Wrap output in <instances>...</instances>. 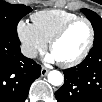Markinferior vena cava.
Returning a JSON list of instances; mask_svg holds the SVG:
<instances>
[{
  "mask_svg": "<svg viewBox=\"0 0 102 102\" xmlns=\"http://www.w3.org/2000/svg\"><path fill=\"white\" fill-rule=\"evenodd\" d=\"M21 52L27 58H36L38 55V52L35 48L27 45L21 46Z\"/></svg>",
  "mask_w": 102,
  "mask_h": 102,
  "instance_id": "1",
  "label": "inferior vena cava"
}]
</instances>
